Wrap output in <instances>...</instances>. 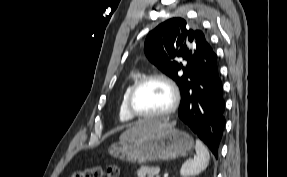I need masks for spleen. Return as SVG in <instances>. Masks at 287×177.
<instances>
[{"label": "spleen", "instance_id": "obj_1", "mask_svg": "<svg viewBox=\"0 0 287 177\" xmlns=\"http://www.w3.org/2000/svg\"><path fill=\"white\" fill-rule=\"evenodd\" d=\"M195 150L194 159L187 160L181 167L180 174L183 177L195 176L204 171L209 164V152L199 139L196 140Z\"/></svg>", "mask_w": 287, "mask_h": 177}]
</instances>
